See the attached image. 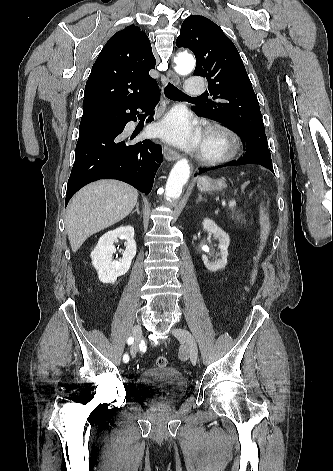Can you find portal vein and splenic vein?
Listing matches in <instances>:
<instances>
[{
	"label": "portal vein and splenic vein",
	"mask_w": 333,
	"mask_h": 471,
	"mask_svg": "<svg viewBox=\"0 0 333 471\" xmlns=\"http://www.w3.org/2000/svg\"><path fill=\"white\" fill-rule=\"evenodd\" d=\"M234 206H236V201H235V200H230V201L228 202V207H229V208H232V207H234Z\"/></svg>",
	"instance_id": "portal-vein-and-splenic-vein-1"
}]
</instances>
